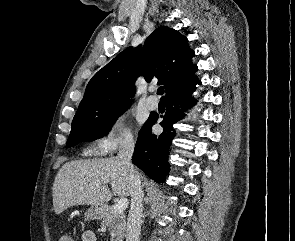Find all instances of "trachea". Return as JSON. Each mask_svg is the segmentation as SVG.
I'll list each match as a JSON object with an SVG mask.
<instances>
[{"label": "trachea", "mask_w": 295, "mask_h": 241, "mask_svg": "<svg viewBox=\"0 0 295 241\" xmlns=\"http://www.w3.org/2000/svg\"><path fill=\"white\" fill-rule=\"evenodd\" d=\"M157 94L162 96L161 97V100H164L165 99V97L163 96V94H164V88L163 87H159L158 88Z\"/></svg>", "instance_id": "obj_1"}]
</instances>
